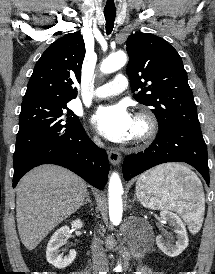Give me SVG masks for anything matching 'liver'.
Wrapping results in <instances>:
<instances>
[{"mask_svg": "<svg viewBox=\"0 0 215 274\" xmlns=\"http://www.w3.org/2000/svg\"><path fill=\"white\" fill-rule=\"evenodd\" d=\"M86 182L57 165L28 172L16 190V217L22 244L33 250L47 234L84 202Z\"/></svg>", "mask_w": 215, "mask_h": 274, "instance_id": "6515ba94", "label": "liver"}]
</instances>
